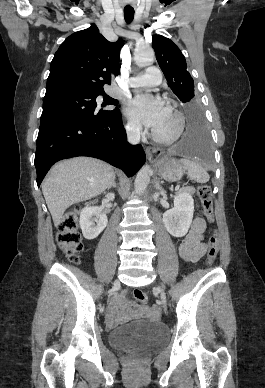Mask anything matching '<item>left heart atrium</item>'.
<instances>
[{
    "instance_id": "obj_1",
    "label": "left heart atrium",
    "mask_w": 265,
    "mask_h": 388,
    "mask_svg": "<svg viewBox=\"0 0 265 388\" xmlns=\"http://www.w3.org/2000/svg\"><path fill=\"white\" fill-rule=\"evenodd\" d=\"M164 102L146 94H139L127 103L126 113L133 120L157 126L166 114Z\"/></svg>"
}]
</instances>
